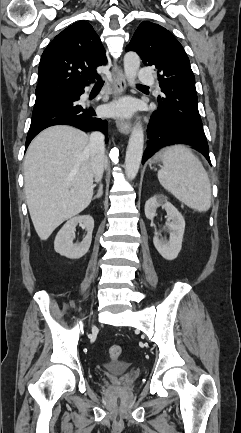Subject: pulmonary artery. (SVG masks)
I'll use <instances>...</instances> for the list:
<instances>
[{"mask_svg":"<svg viewBox=\"0 0 241 433\" xmlns=\"http://www.w3.org/2000/svg\"><path fill=\"white\" fill-rule=\"evenodd\" d=\"M138 79L141 84H152L155 81L154 75L151 73V71L146 68L142 67L138 71Z\"/></svg>","mask_w":241,"mask_h":433,"instance_id":"e3ab8cb5","label":"pulmonary artery"}]
</instances>
